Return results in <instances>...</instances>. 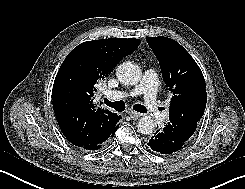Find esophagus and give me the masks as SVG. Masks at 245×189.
I'll list each match as a JSON object with an SVG mask.
<instances>
[{"mask_svg":"<svg viewBox=\"0 0 245 189\" xmlns=\"http://www.w3.org/2000/svg\"><path fill=\"white\" fill-rule=\"evenodd\" d=\"M127 113L129 114V116H130L132 119H137V118H139L140 116H142V114H140V113H138V112H136V111H134V110H129Z\"/></svg>","mask_w":245,"mask_h":189,"instance_id":"34e87169","label":"esophagus"}]
</instances>
